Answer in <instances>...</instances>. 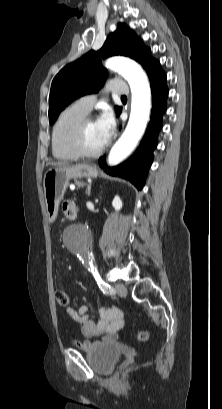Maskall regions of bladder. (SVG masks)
<instances>
[{
  "label": "bladder",
  "instance_id": "obj_1",
  "mask_svg": "<svg viewBox=\"0 0 222 409\" xmlns=\"http://www.w3.org/2000/svg\"><path fill=\"white\" fill-rule=\"evenodd\" d=\"M122 346L116 342H105L88 349L86 358L89 365L100 374L113 371L120 356Z\"/></svg>",
  "mask_w": 222,
  "mask_h": 409
}]
</instances>
